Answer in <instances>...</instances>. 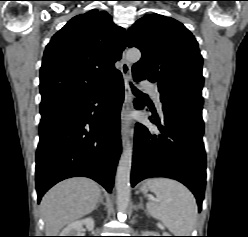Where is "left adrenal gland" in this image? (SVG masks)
Returning a JSON list of instances; mask_svg holds the SVG:
<instances>
[{
  "instance_id": "left-adrenal-gland-1",
  "label": "left adrenal gland",
  "mask_w": 248,
  "mask_h": 237,
  "mask_svg": "<svg viewBox=\"0 0 248 237\" xmlns=\"http://www.w3.org/2000/svg\"><path fill=\"white\" fill-rule=\"evenodd\" d=\"M138 209H144L143 207V203H142V198H140V203L139 205L137 206Z\"/></svg>"
}]
</instances>
